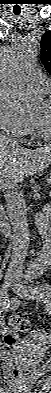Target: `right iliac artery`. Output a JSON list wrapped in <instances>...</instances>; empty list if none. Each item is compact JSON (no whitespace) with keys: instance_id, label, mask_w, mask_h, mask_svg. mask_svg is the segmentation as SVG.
<instances>
[{"instance_id":"obj_1","label":"right iliac artery","mask_w":51,"mask_h":393,"mask_svg":"<svg viewBox=\"0 0 51 393\" xmlns=\"http://www.w3.org/2000/svg\"><path fill=\"white\" fill-rule=\"evenodd\" d=\"M0 306L3 310H6L9 307V299L7 292L5 291V285L2 287L1 295H0Z\"/></svg>"}]
</instances>
